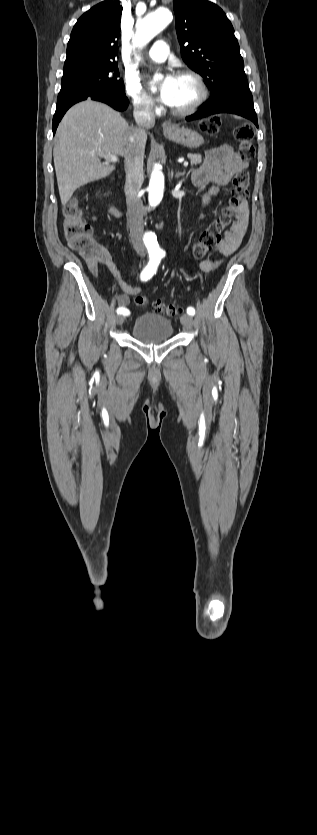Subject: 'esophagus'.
I'll return each mask as SVG.
<instances>
[{
    "instance_id": "34e87169",
    "label": "esophagus",
    "mask_w": 317,
    "mask_h": 835,
    "mask_svg": "<svg viewBox=\"0 0 317 835\" xmlns=\"http://www.w3.org/2000/svg\"><path fill=\"white\" fill-rule=\"evenodd\" d=\"M162 128L165 133L173 132L176 130V127L170 121H165L162 125Z\"/></svg>"
}]
</instances>
